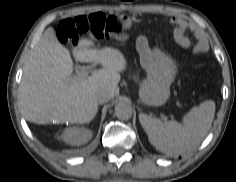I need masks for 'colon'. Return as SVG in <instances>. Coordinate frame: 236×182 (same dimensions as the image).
<instances>
[{"mask_svg": "<svg viewBox=\"0 0 236 182\" xmlns=\"http://www.w3.org/2000/svg\"><path fill=\"white\" fill-rule=\"evenodd\" d=\"M119 29V24L114 17L94 13L61 21L57 35L64 44H77L83 34L90 33L97 38H104Z\"/></svg>", "mask_w": 236, "mask_h": 182, "instance_id": "colon-1", "label": "colon"}]
</instances>
